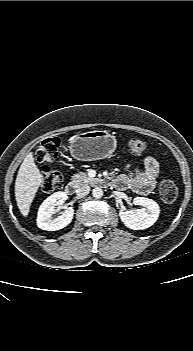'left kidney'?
Returning a JSON list of instances; mask_svg holds the SVG:
<instances>
[{
    "mask_svg": "<svg viewBox=\"0 0 193 351\" xmlns=\"http://www.w3.org/2000/svg\"><path fill=\"white\" fill-rule=\"evenodd\" d=\"M133 203L143 208L119 211L120 219L126 227L133 230H143L157 221L160 209L155 201L145 197H135Z\"/></svg>",
    "mask_w": 193,
    "mask_h": 351,
    "instance_id": "obj_1",
    "label": "left kidney"
}]
</instances>
